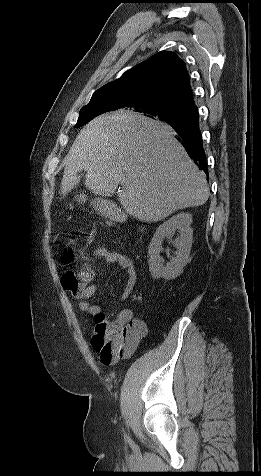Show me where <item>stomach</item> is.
Listing matches in <instances>:
<instances>
[{
  "label": "stomach",
  "instance_id": "0dacf381",
  "mask_svg": "<svg viewBox=\"0 0 261 476\" xmlns=\"http://www.w3.org/2000/svg\"><path fill=\"white\" fill-rule=\"evenodd\" d=\"M75 200L79 203H84L87 200V197L82 193L80 195H76ZM93 204L100 212L108 214L107 201L98 198L93 201Z\"/></svg>",
  "mask_w": 261,
  "mask_h": 476
}]
</instances>
